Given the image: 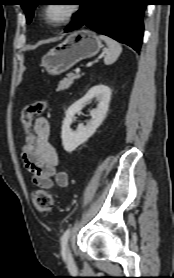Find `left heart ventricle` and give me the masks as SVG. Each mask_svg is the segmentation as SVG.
Masks as SVG:
<instances>
[{"label":"left heart ventricle","instance_id":"obj_1","mask_svg":"<svg viewBox=\"0 0 174 278\" xmlns=\"http://www.w3.org/2000/svg\"><path fill=\"white\" fill-rule=\"evenodd\" d=\"M68 10L66 4H51L46 8L45 15L52 21H56L64 17Z\"/></svg>","mask_w":174,"mask_h":278}]
</instances>
